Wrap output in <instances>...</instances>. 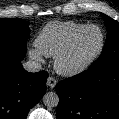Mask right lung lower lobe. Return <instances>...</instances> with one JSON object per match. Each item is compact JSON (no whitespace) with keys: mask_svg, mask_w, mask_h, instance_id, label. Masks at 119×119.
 Here are the masks:
<instances>
[{"mask_svg":"<svg viewBox=\"0 0 119 119\" xmlns=\"http://www.w3.org/2000/svg\"><path fill=\"white\" fill-rule=\"evenodd\" d=\"M25 53L0 48V119H26L46 92L48 73L27 72Z\"/></svg>","mask_w":119,"mask_h":119,"instance_id":"1","label":"right lung lower lobe"}]
</instances>
